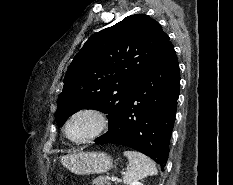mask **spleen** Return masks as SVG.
Listing matches in <instances>:
<instances>
[{"label":"spleen","instance_id":"obj_1","mask_svg":"<svg viewBox=\"0 0 233 185\" xmlns=\"http://www.w3.org/2000/svg\"><path fill=\"white\" fill-rule=\"evenodd\" d=\"M124 155L129 160V165L123 177L124 184L132 185L147 176L157 175L155 163L144 154L136 151H125Z\"/></svg>","mask_w":233,"mask_h":185}]
</instances>
